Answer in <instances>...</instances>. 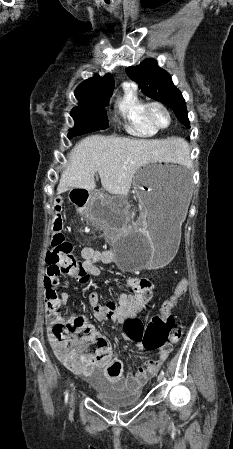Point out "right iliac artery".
<instances>
[{"instance_id":"1","label":"right iliac artery","mask_w":233,"mask_h":449,"mask_svg":"<svg viewBox=\"0 0 233 449\" xmlns=\"http://www.w3.org/2000/svg\"><path fill=\"white\" fill-rule=\"evenodd\" d=\"M67 401H68V391H66L65 393V403H67Z\"/></svg>"}]
</instances>
